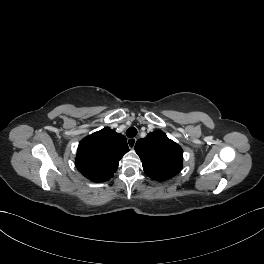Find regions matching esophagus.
<instances>
[{"mask_svg":"<svg viewBox=\"0 0 264 264\" xmlns=\"http://www.w3.org/2000/svg\"><path fill=\"white\" fill-rule=\"evenodd\" d=\"M137 139L136 138H128L127 143L130 148H134L136 144Z\"/></svg>","mask_w":264,"mask_h":264,"instance_id":"obj_1","label":"esophagus"}]
</instances>
